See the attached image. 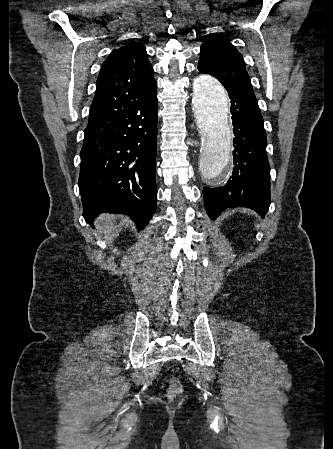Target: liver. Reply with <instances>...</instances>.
Wrapping results in <instances>:
<instances>
[{
    "mask_svg": "<svg viewBox=\"0 0 333 449\" xmlns=\"http://www.w3.org/2000/svg\"><path fill=\"white\" fill-rule=\"evenodd\" d=\"M97 224L104 232V234L117 236L121 231L124 223L121 222L119 225L115 222V216L110 214H101L97 220Z\"/></svg>",
    "mask_w": 333,
    "mask_h": 449,
    "instance_id": "6515ba94",
    "label": "liver"
}]
</instances>
